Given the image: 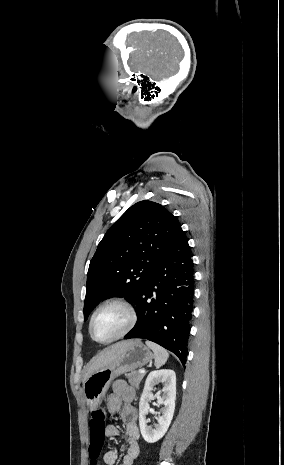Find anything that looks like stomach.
I'll return each mask as SVG.
<instances>
[{"label": "stomach", "instance_id": "stomach-1", "mask_svg": "<svg viewBox=\"0 0 284 465\" xmlns=\"http://www.w3.org/2000/svg\"><path fill=\"white\" fill-rule=\"evenodd\" d=\"M154 359L148 347L140 341H130L125 351L120 353L112 363L94 371L83 383V393L87 407L94 411L100 407L112 381L121 373L135 371Z\"/></svg>", "mask_w": 284, "mask_h": 465}]
</instances>
